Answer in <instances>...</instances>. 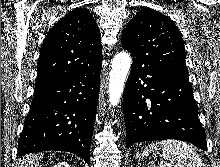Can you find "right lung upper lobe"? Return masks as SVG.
Here are the masks:
<instances>
[{"label": "right lung upper lobe", "instance_id": "right-lung-upper-lobe-1", "mask_svg": "<svg viewBox=\"0 0 220 167\" xmlns=\"http://www.w3.org/2000/svg\"><path fill=\"white\" fill-rule=\"evenodd\" d=\"M102 45L97 24L86 8H77L47 33L37 64L35 87L88 71L101 64Z\"/></svg>", "mask_w": 220, "mask_h": 167}]
</instances>
